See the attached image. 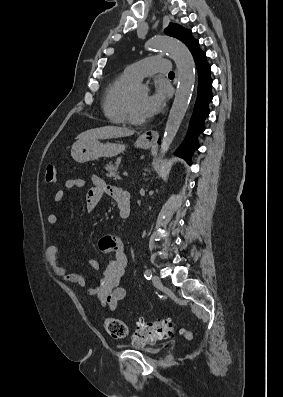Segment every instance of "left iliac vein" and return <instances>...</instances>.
Masks as SVG:
<instances>
[{
    "label": "left iliac vein",
    "mask_w": 283,
    "mask_h": 397,
    "mask_svg": "<svg viewBox=\"0 0 283 397\" xmlns=\"http://www.w3.org/2000/svg\"><path fill=\"white\" fill-rule=\"evenodd\" d=\"M152 282H153L154 286L158 289H161L163 287L161 280L156 275L153 276Z\"/></svg>",
    "instance_id": "4c4485c4"
}]
</instances>
